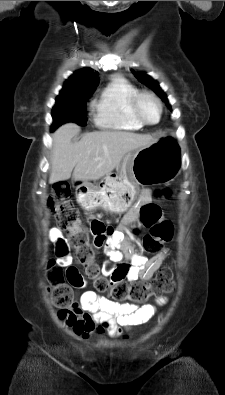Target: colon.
<instances>
[{
  "label": "colon",
  "mask_w": 225,
  "mask_h": 395,
  "mask_svg": "<svg viewBox=\"0 0 225 395\" xmlns=\"http://www.w3.org/2000/svg\"><path fill=\"white\" fill-rule=\"evenodd\" d=\"M157 194L169 197L167 189ZM47 208L56 218L60 229L66 232L73 252L71 258L83 268L82 279L93 283L98 292L108 293L115 303L142 304L150 297L174 290L173 273L169 268L161 269L149 282L111 281L104 277L96 262L95 247L90 241L87 229L82 225L79 213L71 201L69 186L64 182L55 183L47 200ZM141 223L149 229L142 239L145 252H156L173 237L172 223L161 216L155 204H146L140 210ZM134 235H141V228H134ZM48 294L57 308L67 310L73 304L71 281H67L66 270H60L56 261H50L47 270Z\"/></svg>",
  "instance_id": "colon-1"
}]
</instances>
